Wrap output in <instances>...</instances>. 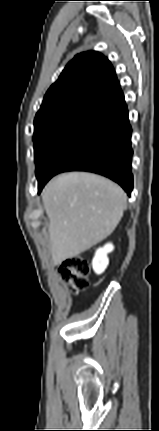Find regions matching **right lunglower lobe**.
<instances>
[{"label": "right lung lower lobe", "instance_id": "obj_1", "mask_svg": "<svg viewBox=\"0 0 159 431\" xmlns=\"http://www.w3.org/2000/svg\"><path fill=\"white\" fill-rule=\"evenodd\" d=\"M131 134L125 102L86 120L51 152L37 177L39 193L54 175L79 170L112 179L130 196L133 189Z\"/></svg>", "mask_w": 159, "mask_h": 431}]
</instances>
